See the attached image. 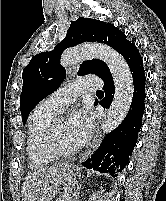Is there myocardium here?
I'll list each match as a JSON object with an SVG mask.
<instances>
[{"mask_svg": "<svg viewBox=\"0 0 166 201\" xmlns=\"http://www.w3.org/2000/svg\"><path fill=\"white\" fill-rule=\"evenodd\" d=\"M60 119V117H54L50 121L45 131L44 143L56 157H71L80 150V146L66 149L59 144L57 138V123Z\"/></svg>", "mask_w": 166, "mask_h": 201, "instance_id": "f54148a6", "label": "myocardium"}]
</instances>
